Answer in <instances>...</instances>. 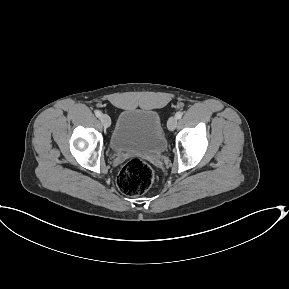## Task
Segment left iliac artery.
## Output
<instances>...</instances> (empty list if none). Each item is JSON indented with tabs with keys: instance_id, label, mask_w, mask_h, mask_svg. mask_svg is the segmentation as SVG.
I'll return each mask as SVG.
<instances>
[{
	"instance_id": "44dca946",
	"label": "left iliac artery",
	"mask_w": 289,
	"mask_h": 289,
	"mask_svg": "<svg viewBox=\"0 0 289 289\" xmlns=\"http://www.w3.org/2000/svg\"><path fill=\"white\" fill-rule=\"evenodd\" d=\"M182 115H183L182 112L179 111V112L176 113V118L180 119L182 117Z\"/></svg>"
}]
</instances>
